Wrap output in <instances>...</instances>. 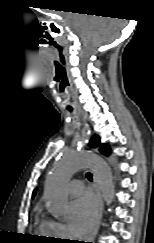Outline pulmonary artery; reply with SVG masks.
<instances>
[{
  "instance_id": "e3ab8cb5",
  "label": "pulmonary artery",
  "mask_w": 154,
  "mask_h": 243,
  "mask_svg": "<svg viewBox=\"0 0 154 243\" xmlns=\"http://www.w3.org/2000/svg\"><path fill=\"white\" fill-rule=\"evenodd\" d=\"M67 189L71 195L77 196L83 192V183L80 180H73L68 184Z\"/></svg>"
}]
</instances>
